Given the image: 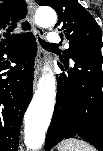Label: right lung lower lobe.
Segmentation results:
<instances>
[{
    "label": "right lung lower lobe",
    "mask_w": 103,
    "mask_h": 151,
    "mask_svg": "<svg viewBox=\"0 0 103 151\" xmlns=\"http://www.w3.org/2000/svg\"><path fill=\"white\" fill-rule=\"evenodd\" d=\"M4 55L16 66L0 62V71L10 69L8 79L1 78L6 73L0 74V151H18L22 117L32 98L35 40L24 35L19 44L0 49V61Z\"/></svg>",
    "instance_id": "obj_1"
}]
</instances>
